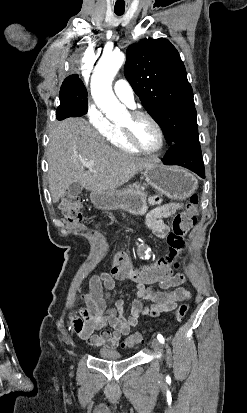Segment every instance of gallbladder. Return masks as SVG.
Listing matches in <instances>:
<instances>
[{
    "label": "gallbladder",
    "instance_id": "bac80fb5",
    "mask_svg": "<svg viewBox=\"0 0 247 413\" xmlns=\"http://www.w3.org/2000/svg\"><path fill=\"white\" fill-rule=\"evenodd\" d=\"M83 186L80 184V182H72L70 186H68V192L71 194V196H78L80 192H82Z\"/></svg>",
    "mask_w": 247,
    "mask_h": 413
}]
</instances>
